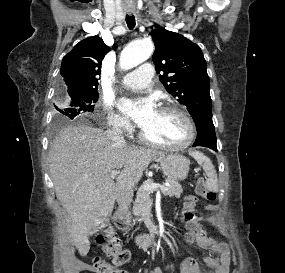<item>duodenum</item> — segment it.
Segmentation results:
<instances>
[{"mask_svg": "<svg viewBox=\"0 0 285 273\" xmlns=\"http://www.w3.org/2000/svg\"><path fill=\"white\" fill-rule=\"evenodd\" d=\"M123 207L120 206L118 210L116 211L114 221L117 225L123 226L126 224V221L123 217ZM137 244L144 248L152 247L153 245H156L158 243V236H151L148 234H141L137 236L136 238Z\"/></svg>", "mask_w": 285, "mask_h": 273, "instance_id": "410a0bca", "label": "duodenum"}]
</instances>
